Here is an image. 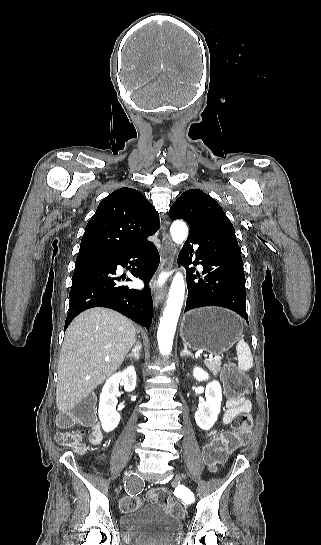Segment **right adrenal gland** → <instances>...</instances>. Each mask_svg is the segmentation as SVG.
I'll list each match as a JSON object with an SVG mask.
<instances>
[{"instance_id": "right-adrenal-gland-1", "label": "right adrenal gland", "mask_w": 321, "mask_h": 545, "mask_svg": "<svg viewBox=\"0 0 321 545\" xmlns=\"http://www.w3.org/2000/svg\"><path fill=\"white\" fill-rule=\"evenodd\" d=\"M142 351V345L140 341H137L134 349H132V353L130 355H127L126 359H140V353Z\"/></svg>"}]
</instances>
